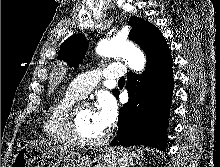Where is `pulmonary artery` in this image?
<instances>
[{"label": "pulmonary artery", "instance_id": "obj_1", "mask_svg": "<svg viewBox=\"0 0 220 167\" xmlns=\"http://www.w3.org/2000/svg\"><path fill=\"white\" fill-rule=\"evenodd\" d=\"M125 74L126 68L124 65L112 63L104 66L101 70L78 75L72 80L69 90L79 98H83L98 84L99 77L120 79Z\"/></svg>", "mask_w": 220, "mask_h": 167}]
</instances>
